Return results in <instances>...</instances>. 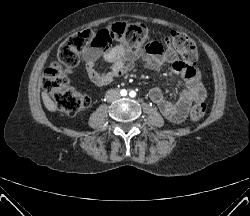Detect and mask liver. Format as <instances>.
I'll use <instances>...</instances> for the list:
<instances>
[{
    "mask_svg": "<svg viewBox=\"0 0 250 216\" xmlns=\"http://www.w3.org/2000/svg\"><path fill=\"white\" fill-rule=\"evenodd\" d=\"M42 99H43V103L45 105V107L49 110V111H55L57 109V106L55 105V103L50 99V97L47 95V93L43 92L42 93Z\"/></svg>",
    "mask_w": 250,
    "mask_h": 216,
    "instance_id": "1",
    "label": "liver"
}]
</instances>
